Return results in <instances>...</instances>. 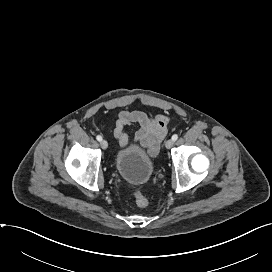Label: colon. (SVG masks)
I'll use <instances>...</instances> for the list:
<instances>
[{
  "label": "colon",
  "mask_w": 272,
  "mask_h": 272,
  "mask_svg": "<svg viewBox=\"0 0 272 272\" xmlns=\"http://www.w3.org/2000/svg\"><path fill=\"white\" fill-rule=\"evenodd\" d=\"M134 199L138 207H146L148 205L147 197L139 191L134 193Z\"/></svg>",
  "instance_id": "colon-1"
}]
</instances>
